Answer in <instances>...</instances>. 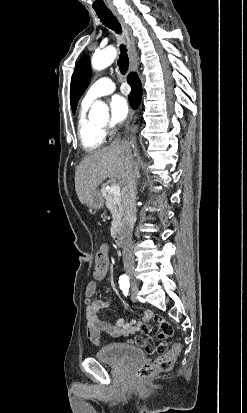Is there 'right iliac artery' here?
Instances as JSON below:
<instances>
[{"mask_svg": "<svg viewBox=\"0 0 247 413\" xmlns=\"http://www.w3.org/2000/svg\"><path fill=\"white\" fill-rule=\"evenodd\" d=\"M120 289L123 291V294L125 296H128V294H129V285H120Z\"/></svg>", "mask_w": 247, "mask_h": 413, "instance_id": "1", "label": "right iliac artery"}]
</instances>
